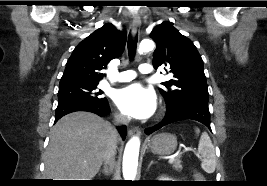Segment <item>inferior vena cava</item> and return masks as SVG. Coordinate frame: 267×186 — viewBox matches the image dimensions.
Wrapping results in <instances>:
<instances>
[{
	"mask_svg": "<svg viewBox=\"0 0 267 186\" xmlns=\"http://www.w3.org/2000/svg\"><path fill=\"white\" fill-rule=\"evenodd\" d=\"M130 119L127 116L117 114L115 115V125H127L129 123ZM117 140H118V133L115 128L112 127L111 135L107 141V146L104 152V162L105 167L107 165L110 167H113L115 154H116V146H117Z\"/></svg>",
	"mask_w": 267,
	"mask_h": 186,
	"instance_id": "obj_1",
	"label": "inferior vena cava"
}]
</instances>
